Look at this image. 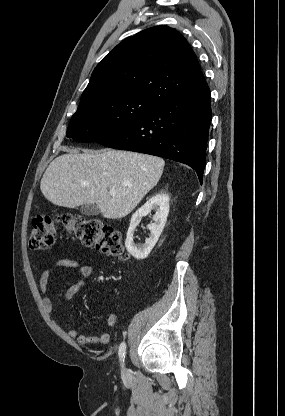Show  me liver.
I'll return each mask as SVG.
<instances>
[{"instance_id":"1","label":"liver","mask_w":285,"mask_h":416,"mask_svg":"<svg viewBox=\"0 0 285 416\" xmlns=\"http://www.w3.org/2000/svg\"><path fill=\"white\" fill-rule=\"evenodd\" d=\"M55 158L43 174V196L63 208L96 204L103 218L128 216L142 198L157 186L164 160L122 150H68ZM116 190L117 196H110Z\"/></svg>"}]
</instances>
